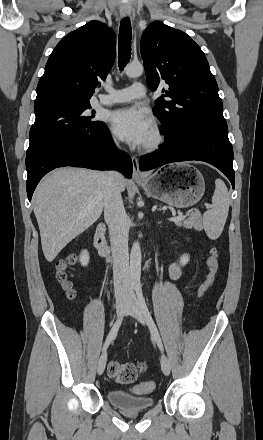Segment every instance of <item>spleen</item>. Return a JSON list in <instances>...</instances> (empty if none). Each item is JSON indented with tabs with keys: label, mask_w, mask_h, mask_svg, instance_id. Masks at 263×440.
<instances>
[{
	"label": "spleen",
	"mask_w": 263,
	"mask_h": 440,
	"mask_svg": "<svg viewBox=\"0 0 263 440\" xmlns=\"http://www.w3.org/2000/svg\"><path fill=\"white\" fill-rule=\"evenodd\" d=\"M230 196L221 179L215 181L212 208L203 214V227L211 240H216L222 233L229 211Z\"/></svg>",
	"instance_id": "1"
}]
</instances>
